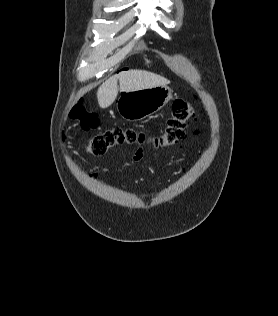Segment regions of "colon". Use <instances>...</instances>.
<instances>
[{
	"mask_svg": "<svg viewBox=\"0 0 278 316\" xmlns=\"http://www.w3.org/2000/svg\"><path fill=\"white\" fill-rule=\"evenodd\" d=\"M71 117L84 131L96 130L100 120L97 115L89 113L82 101L72 109ZM196 117L193 107L180 99L172 104L171 114L166 121L164 131L159 136H149L141 130L131 127H114L95 135L89 142L88 151L94 156L105 154L109 149L120 145H144L152 143L157 147L174 145L186 137V125Z\"/></svg>",
	"mask_w": 278,
	"mask_h": 316,
	"instance_id": "colon-1",
	"label": "colon"
}]
</instances>
